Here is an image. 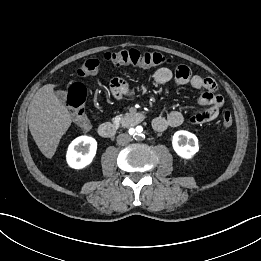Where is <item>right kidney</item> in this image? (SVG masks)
<instances>
[{"label":"right kidney","mask_w":261,"mask_h":261,"mask_svg":"<svg viewBox=\"0 0 261 261\" xmlns=\"http://www.w3.org/2000/svg\"><path fill=\"white\" fill-rule=\"evenodd\" d=\"M97 142L89 136H79L68 147L66 159L71 168L82 169L95 157Z\"/></svg>","instance_id":"1"}]
</instances>
